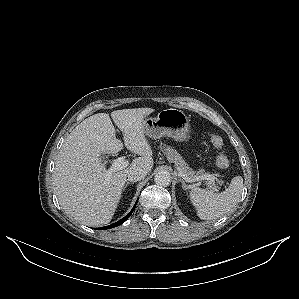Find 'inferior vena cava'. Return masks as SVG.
Here are the masks:
<instances>
[{
	"instance_id": "1",
	"label": "inferior vena cava",
	"mask_w": 299,
	"mask_h": 299,
	"mask_svg": "<svg viewBox=\"0 0 299 299\" xmlns=\"http://www.w3.org/2000/svg\"><path fill=\"white\" fill-rule=\"evenodd\" d=\"M147 170L142 167H133L128 172V181L137 182L145 178Z\"/></svg>"
}]
</instances>
